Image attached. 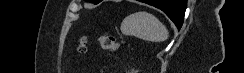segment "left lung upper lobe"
<instances>
[{"instance_id":"obj_1","label":"left lung upper lobe","mask_w":244,"mask_h":73,"mask_svg":"<svg viewBox=\"0 0 244 73\" xmlns=\"http://www.w3.org/2000/svg\"><path fill=\"white\" fill-rule=\"evenodd\" d=\"M88 1H90V2H94L95 4H97V3L100 2V0H88Z\"/></svg>"}]
</instances>
